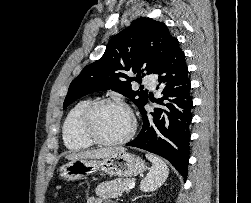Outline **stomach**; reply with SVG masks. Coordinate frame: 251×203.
<instances>
[{
    "label": "stomach",
    "mask_w": 251,
    "mask_h": 203,
    "mask_svg": "<svg viewBox=\"0 0 251 203\" xmlns=\"http://www.w3.org/2000/svg\"><path fill=\"white\" fill-rule=\"evenodd\" d=\"M145 169L142 158L122 149L102 160L81 158L66 163L59 168V177L65 181L81 180L98 171L110 176L132 177L143 173Z\"/></svg>",
    "instance_id": "obj_1"
}]
</instances>
